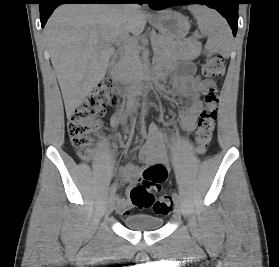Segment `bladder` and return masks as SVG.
Wrapping results in <instances>:
<instances>
[{"instance_id":"31cf9c89","label":"bladder","mask_w":279,"mask_h":267,"mask_svg":"<svg viewBox=\"0 0 279 267\" xmlns=\"http://www.w3.org/2000/svg\"><path fill=\"white\" fill-rule=\"evenodd\" d=\"M124 226L134 231H156L163 225V219L145 214H131L123 218Z\"/></svg>"}]
</instances>
